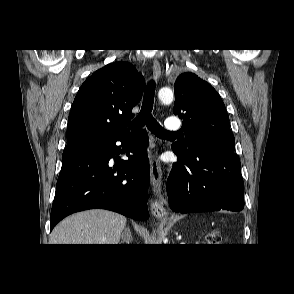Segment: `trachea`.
Segmentation results:
<instances>
[{
  "label": "trachea",
  "instance_id": "trachea-1",
  "mask_svg": "<svg viewBox=\"0 0 294 294\" xmlns=\"http://www.w3.org/2000/svg\"><path fill=\"white\" fill-rule=\"evenodd\" d=\"M155 94V84L150 82L146 88L140 113L133 121L135 126H147L156 136L165 138L177 134L164 129L152 115Z\"/></svg>",
  "mask_w": 294,
  "mask_h": 294
}]
</instances>
